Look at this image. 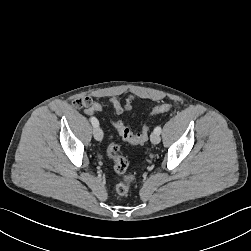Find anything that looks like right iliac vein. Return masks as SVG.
Segmentation results:
<instances>
[{
	"instance_id": "63e3f726",
	"label": "right iliac vein",
	"mask_w": 251,
	"mask_h": 251,
	"mask_svg": "<svg viewBox=\"0 0 251 251\" xmlns=\"http://www.w3.org/2000/svg\"><path fill=\"white\" fill-rule=\"evenodd\" d=\"M93 134H94V138L97 140V141H101L103 139V131L101 130L100 127H95L94 130H93Z\"/></svg>"
}]
</instances>
